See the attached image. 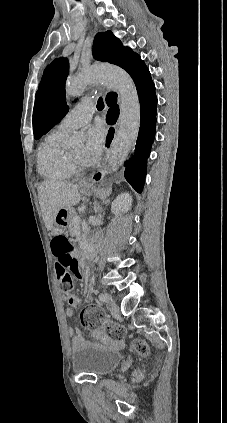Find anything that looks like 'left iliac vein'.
Returning a JSON list of instances; mask_svg holds the SVG:
<instances>
[{
    "label": "left iliac vein",
    "instance_id": "1",
    "mask_svg": "<svg viewBox=\"0 0 227 423\" xmlns=\"http://www.w3.org/2000/svg\"><path fill=\"white\" fill-rule=\"evenodd\" d=\"M110 311L112 313V315L114 317H119L120 316V309L117 305H115L114 303L110 304Z\"/></svg>",
    "mask_w": 227,
    "mask_h": 423
}]
</instances>
